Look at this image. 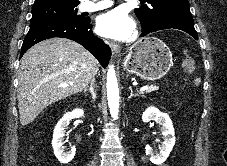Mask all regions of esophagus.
Wrapping results in <instances>:
<instances>
[{
	"instance_id": "esophagus-1",
	"label": "esophagus",
	"mask_w": 227,
	"mask_h": 166,
	"mask_svg": "<svg viewBox=\"0 0 227 166\" xmlns=\"http://www.w3.org/2000/svg\"><path fill=\"white\" fill-rule=\"evenodd\" d=\"M109 46L111 48V51H112L113 55H117L120 52V50H121L120 45L117 44V43H109Z\"/></svg>"
}]
</instances>
